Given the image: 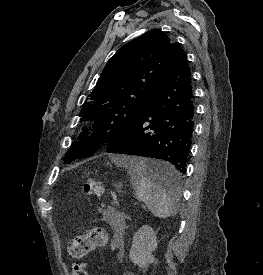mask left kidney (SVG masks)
<instances>
[{
	"mask_svg": "<svg viewBox=\"0 0 263 275\" xmlns=\"http://www.w3.org/2000/svg\"><path fill=\"white\" fill-rule=\"evenodd\" d=\"M157 248V237L154 230L142 226L133 236L129 258L138 267L145 269L154 262L152 252Z\"/></svg>",
	"mask_w": 263,
	"mask_h": 275,
	"instance_id": "obj_1",
	"label": "left kidney"
}]
</instances>
